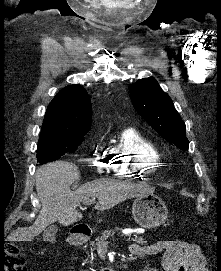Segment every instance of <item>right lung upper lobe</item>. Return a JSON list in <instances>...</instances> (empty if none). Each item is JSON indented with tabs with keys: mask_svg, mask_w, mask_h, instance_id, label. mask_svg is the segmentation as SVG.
<instances>
[{
	"mask_svg": "<svg viewBox=\"0 0 221 271\" xmlns=\"http://www.w3.org/2000/svg\"><path fill=\"white\" fill-rule=\"evenodd\" d=\"M92 121V105L87 91L80 85L62 89L45 113L40 135L82 136Z\"/></svg>",
	"mask_w": 221,
	"mask_h": 271,
	"instance_id": "obj_1",
	"label": "right lung upper lobe"
}]
</instances>
